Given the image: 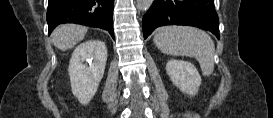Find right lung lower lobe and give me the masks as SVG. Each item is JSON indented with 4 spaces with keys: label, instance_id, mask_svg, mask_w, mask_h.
I'll return each mask as SVG.
<instances>
[{
    "label": "right lung lower lobe",
    "instance_id": "1",
    "mask_svg": "<svg viewBox=\"0 0 273 118\" xmlns=\"http://www.w3.org/2000/svg\"><path fill=\"white\" fill-rule=\"evenodd\" d=\"M114 0H49L47 23L49 35L63 23L99 27L113 35Z\"/></svg>",
    "mask_w": 273,
    "mask_h": 118
}]
</instances>
